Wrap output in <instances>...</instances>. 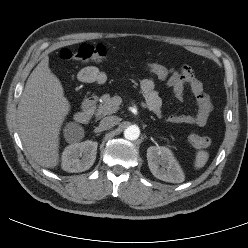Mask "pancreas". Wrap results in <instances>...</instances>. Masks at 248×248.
<instances>
[{
    "mask_svg": "<svg viewBox=\"0 0 248 248\" xmlns=\"http://www.w3.org/2000/svg\"><path fill=\"white\" fill-rule=\"evenodd\" d=\"M119 110V106L114 102L109 94L101 96V103L98 106L96 116L98 118L113 114Z\"/></svg>",
    "mask_w": 248,
    "mask_h": 248,
    "instance_id": "pancreas-1",
    "label": "pancreas"
}]
</instances>
